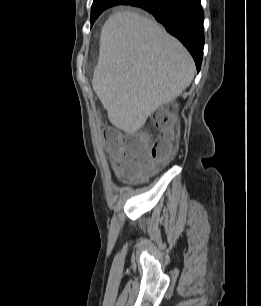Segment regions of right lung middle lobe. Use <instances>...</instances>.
Wrapping results in <instances>:
<instances>
[{
  "instance_id": "right-lung-middle-lobe-1",
  "label": "right lung middle lobe",
  "mask_w": 261,
  "mask_h": 306,
  "mask_svg": "<svg viewBox=\"0 0 261 306\" xmlns=\"http://www.w3.org/2000/svg\"><path fill=\"white\" fill-rule=\"evenodd\" d=\"M126 0H105L97 3H93L91 7V24L98 18V16L106 9L115 6L124 4Z\"/></svg>"
}]
</instances>
